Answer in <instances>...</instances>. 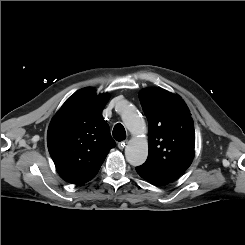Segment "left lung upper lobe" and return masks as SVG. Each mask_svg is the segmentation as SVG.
Masks as SVG:
<instances>
[{"label":"left lung upper lobe","instance_id":"5c2ea615","mask_svg":"<svg viewBox=\"0 0 245 245\" xmlns=\"http://www.w3.org/2000/svg\"><path fill=\"white\" fill-rule=\"evenodd\" d=\"M139 99L148 119L149 154L138 168L176 180L194 157V122L184 100L161 88L141 91Z\"/></svg>","mask_w":245,"mask_h":245}]
</instances>
